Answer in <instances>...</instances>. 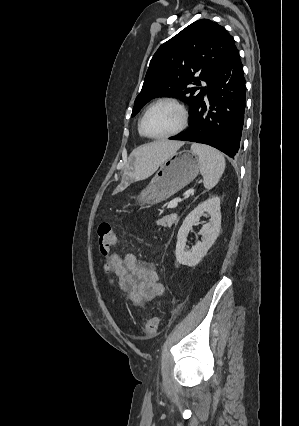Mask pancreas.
Returning a JSON list of instances; mask_svg holds the SVG:
<instances>
[{"instance_id":"pancreas-1","label":"pancreas","mask_w":299,"mask_h":426,"mask_svg":"<svg viewBox=\"0 0 299 426\" xmlns=\"http://www.w3.org/2000/svg\"><path fill=\"white\" fill-rule=\"evenodd\" d=\"M177 221V218L173 215L165 216L157 222L158 226L170 227L173 223Z\"/></svg>"}]
</instances>
